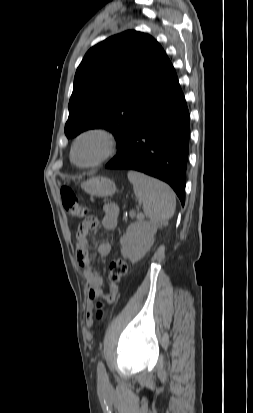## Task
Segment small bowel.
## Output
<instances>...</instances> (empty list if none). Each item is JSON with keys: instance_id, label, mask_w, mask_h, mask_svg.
<instances>
[{"instance_id": "1", "label": "small bowel", "mask_w": 253, "mask_h": 413, "mask_svg": "<svg viewBox=\"0 0 253 413\" xmlns=\"http://www.w3.org/2000/svg\"><path fill=\"white\" fill-rule=\"evenodd\" d=\"M118 206L114 203H105L103 205V215L101 218L102 227L106 231H112L117 227L118 223ZM98 225V220L95 217L85 219L78 227L77 231V259L80 266L84 269V276L89 285L90 299L100 298L103 295L102 285L103 277L94 267V254L90 251L89 233ZM112 251V243L103 241L97 248V255L100 257H108ZM107 297L104 298L106 307L114 303L115 298L119 295L117 281L110 279L105 285Z\"/></svg>"}]
</instances>
